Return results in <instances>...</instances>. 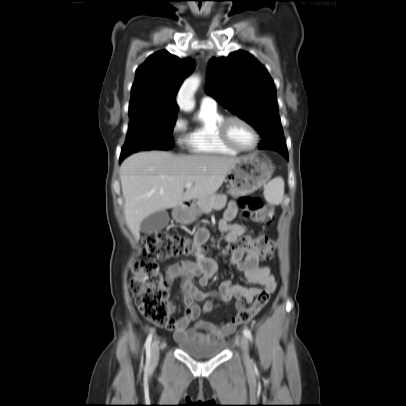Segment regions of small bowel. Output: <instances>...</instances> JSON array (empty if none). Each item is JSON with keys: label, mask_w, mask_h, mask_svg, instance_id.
<instances>
[{"label": "small bowel", "mask_w": 406, "mask_h": 406, "mask_svg": "<svg viewBox=\"0 0 406 406\" xmlns=\"http://www.w3.org/2000/svg\"><path fill=\"white\" fill-rule=\"evenodd\" d=\"M238 207L235 202H230L224 212L223 218L219 221L218 227L225 233V239L230 244H237L239 238L246 233V226L235 223L233 220L237 216ZM209 231L201 228L195 235V244L199 248L208 240ZM229 265L235 266L241 271L246 280L254 285L261 286L269 291H274L276 282L271 268L261 263V259L253 252H234L231 255ZM218 271V266L214 260L206 257L200 251L196 254V261L184 260L170 264L165 269V276L168 285L179 280L180 288L184 296V312L180 318L172 319L170 324L164 326L168 331H173L177 341H189L193 343H211L223 339L235 329L232 323L212 324L199 320L201 314L209 313L213 310L215 298L222 302L235 301V307L239 310L246 304L252 302L255 296L261 292L259 287L246 288L233 284L231 280L221 283L218 292L204 293L196 287L194 281L199 280L200 286H207L210 279ZM204 301L200 306L198 303ZM171 311H175V306L171 304ZM194 326L191 327V324Z\"/></svg>", "instance_id": "small-bowel-1"}]
</instances>
